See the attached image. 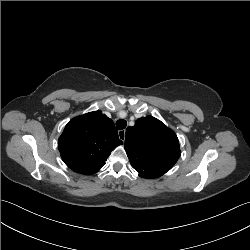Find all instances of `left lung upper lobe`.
I'll return each mask as SVG.
<instances>
[{"mask_svg": "<svg viewBox=\"0 0 250 250\" xmlns=\"http://www.w3.org/2000/svg\"><path fill=\"white\" fill-rule=\"evenodd\" d=\"M125 150L132 167L145 178L160 177L181 154L175 132L152 116L142 117L126 129Z\"/></svg>", "mask_w": 250, "mask_h": 250, "instance_id": "obj_1", "label": "left lung upper lobe"}]
</instances>
